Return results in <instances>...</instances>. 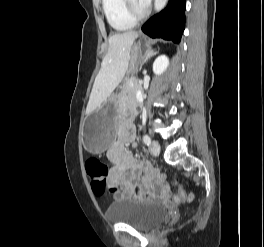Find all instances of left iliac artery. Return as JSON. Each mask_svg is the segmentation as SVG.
<instances>
[{"mask_svg":"<svg viewBox=\"0 0 264 247\" xmlns=\"http://www.w3.org/2000/svg\"><path fill=\"white\" fill-rule=\"evenodd\" d=\"M143 142H144L146 145H150V143H151V139H150V137H149L147 134H144V135H143Z\"/></svg>","mask_w":264,"mask_h":247,"instance_id":"1","label":"left iliac artery"}]
</instances>
